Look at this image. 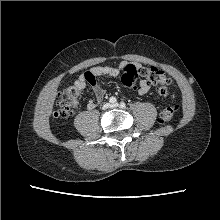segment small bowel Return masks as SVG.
<instances>
[{"mask_svg":"<svg viewBox=\"0 0 220 220\" xmlns=\"http://www.w3.org/2000/svg\"><path fill=\"white\" fill-rule=\"evenodd\" d=\"M126 65V62L122 63L120 66H96L91 70L84 73L78 80L75 82V86L80 89L85 88L86 85H89L95 95L94 99H91L87 103V109H94L97 107L103 100L105 96L104 89L99 85L98 79L100 77H117L120 74L121 68ZM150 90V84L145 79L140 80L138 93L140 95H145Z\"/></svg>","mask_w":220,"mask_h":220,"instance_id":"obj_1","label":"small bowel"}]
</instances>
